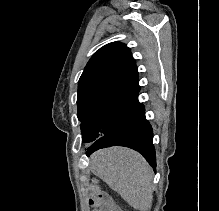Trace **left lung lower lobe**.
Instances as JSON below:
<instances>
[{
	"label": "left lung lower lobe",
	"mask_w": 219,
	"mask_h": 211,
	"mask_svg": "<svg viewBox=\"0 0 219 211\" xmlns=\"http://www.w3.org/2000/svg\"><path fill=\"white\" fill-rule=\"evenodd\" d=\"M110 146H125L138 151L155 170L156 156L153 131L150 123L146 120L145 108L138 99L109 134L97 139L87 149V156L98 149Z\"/></svg>",
	"instance_id": "0a47b994"
}]
</instances>
